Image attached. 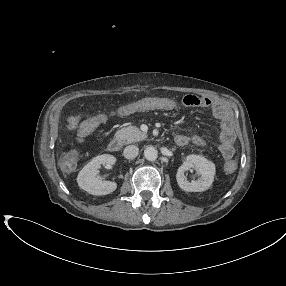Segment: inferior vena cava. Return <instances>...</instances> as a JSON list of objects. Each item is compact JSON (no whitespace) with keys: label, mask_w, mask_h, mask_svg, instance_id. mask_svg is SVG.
Listing matches in <instances>:
<instances>
[{"label":"inferior vena cava","mask_w":286,"mask_h":286,"mask_svg":"<svg viewBox=\"0 0 286 286\" xmlns=\"http://www.w3.org/2000/svg\"><path fill=\"white\" fill-rule=\"evenodd\" d=\"M139 153V149L135 145H128L123 151V155L127 159L135 158Z\"/></svg>","instance_id":"inferior-vena-cava-1"}]
</instances>
